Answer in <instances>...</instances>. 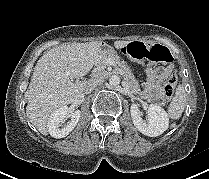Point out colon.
<instances>
[{
    "label": "colon",
    "mask_w": 209,
    "mask_h": 179,
    "mask_svg": "<svg viewBox=\"0 0 209 179\" xmlns=\"http://www.w3.org/2000/svg\"><path fill=\"white\" fill-rule=\"evenodd\" d=\"M121 52L129 59L144 64L168 62L171 60V55L165 47L142 42H131L122 47ZM176 84L177 75L176 73H172L163 89L167 99L173 96Z\"/></svg>",
    "instance_id": "colon-1"
}]
</instances>
